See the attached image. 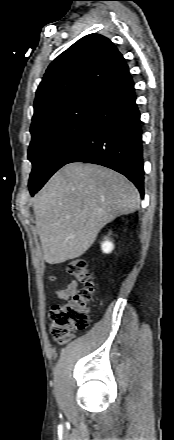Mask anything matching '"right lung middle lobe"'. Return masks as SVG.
<instances>
[{"instance_id": "obj_1", "label": "right lung middle lobe", "mask_w": 174, "mask_h": 440, "mask_svg": "<svg viewBox=\"0 0 174 440\" xmlns=\"http://www.w3.org/2000/svg\"><path fill=\"white\" fill-rule=\"evenodd\" d=\"M95 103V94L82 96L31 125L30 191L44 184L75 153L89 127Z\"/></svg>"}]
</instances>
